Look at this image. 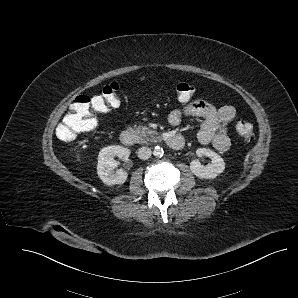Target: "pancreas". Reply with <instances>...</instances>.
<instances>
[{
	"label": "pancreas",
	"mask_w": 298,
	"mask_h": 298,
	"mask_svg": "<svg viewBox=\"0 0 298 298\" xmlns=\"http://www.w3.org/2000/svg\"><path fill=\"white\" fill-rule=\"evenodd\" d=\"M134 133L139 137L138 143H147L148 141H156L157 132L147 126H137L133 129Z\"/></svg>",
	"instance_id": "cf45deb5"
}]
</instances>
